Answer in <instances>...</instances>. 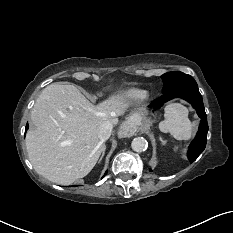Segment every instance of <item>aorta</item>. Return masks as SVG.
Masks as SVG:
<instances>
[{"label":"aorta","mask_w":233,"mask_h":233,"mask_svg":"<svg viewBox=\"0 0 233 233\" xmlns=\"http://www.w3.org/2000/svg\"><path fill=\"white\" fill-rule=\"evenodd\" d=\"M131 147L136 152H143L147 149L148 142L143 137H136L133 139V141L131 143Z\"/></svg>","instance_id":"762f6f07"}]
</instances>
